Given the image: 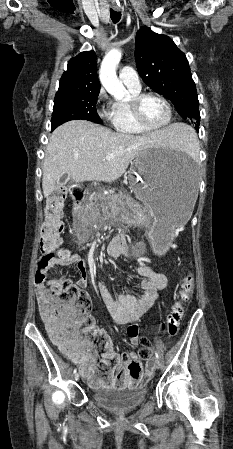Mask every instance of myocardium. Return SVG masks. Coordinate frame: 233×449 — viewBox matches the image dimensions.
I'll return each instance as SVG.
<instances>
[{"label": "myocardium", "instance_id": "1", "mask_svg": "<svg viewBox=\"0 0 233 449\" xmlns=\"http://www.w3.org/2000/svg\"><path fill=\"white\" fill-rule=\"evenodd\" d=\"M147 97L158 98L166 106L167 111H168V116H167L166 121L163 124L156 125V126L150 125L143 118L142 111H141V105H142L143 100ZM129 106H130L132 116H133L134 120L137 122V124H139L141 127H143L144 129H147L149 131H155V130H160L162 128H165L166 126H168L170 124V122L172 120V112L173 111H172L170 102L164 96H162L161 94L156 93V92H140V93L130 97Z\"/></svg>", "mask_w": 233, "mask_h": 449}]
</instances>
